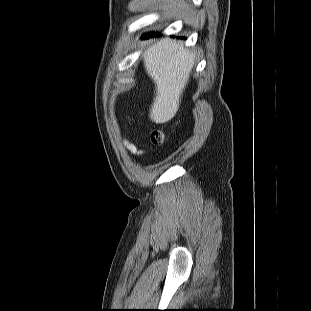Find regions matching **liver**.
Returning a JSON list of instances; mask_svg holds the SVG:
<instances>
[{
    "instance_id": "1",
    "label": "liver",
    "mask_w": 311,
    "mask_h": 311,
    "mask_svg": "<svg viewBox=\"0 0 311 311\" xmlns=\"http://www.w3.org/2000/svg\"><path fill=\"white\" fill-rule=\"evenodd\" d=\"M146 72L156 85L150 119L162 124L177 113L195 58L181 42L170 38L150 45L143 53Z\"/></svg>"
}]
</instances>
